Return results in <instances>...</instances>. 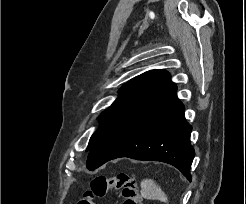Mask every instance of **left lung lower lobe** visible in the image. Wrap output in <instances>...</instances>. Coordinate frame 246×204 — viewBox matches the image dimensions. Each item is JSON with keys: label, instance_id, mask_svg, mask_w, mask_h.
I'll return each mask as SVG.
<instances>
[{"label": "left lung lower lobe", "instance_id": "obj_1", "mask_svg": "<svg viewBox=\"0 0 246 204\" xmlns=\"http://www.w3.org/2000/svg\"><path fill=\"white\" fill-rule=\"evenodd\" d=\"M176 90L169 83L107 128L89 150L87 168L94 170L111 159L129 157L171 164L191 181L192 127Z\"/></svg>", "mask_w": 246, "mask_h": 204}]
</instances>
